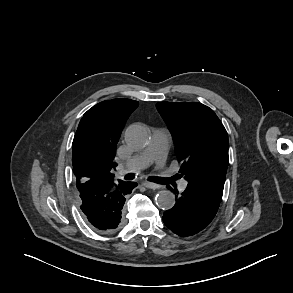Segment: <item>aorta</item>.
Wrapping results in <instances>:
<instances>
[{
    "label": "aorta",
    "instance_id": "obj_1",
    "mask_svg": "<svg viewBox=\"0 0 293 293\" xmlns=\"http://www.w3.org/2000/svg\"><path fill=\"white\" fill-rule=\"evenodd\" d=\"M126 142L130 147L143 148L149 140L148 129L141 124L131 125L125 134ZM156 204L163 210H169L175 205V195L169 190H162L156 195Z\"/></svg>",
    "mask_w": 293,
    "mask_h": 293
}]
</instances>
